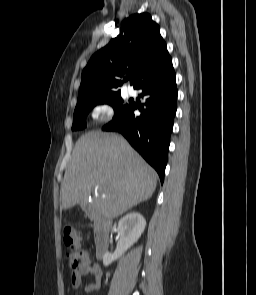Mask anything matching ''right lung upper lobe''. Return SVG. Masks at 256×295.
Returning a JSON list of instances; mask_svg holds the SVG:
<instances>
[{
  "instance_id": "right-lung-upper-lobe-1",
  "label": "right lung upper lobe",
  "mask_w": 256,
  "mask_h": 295,
  "mask_svg": "<svg viewBox=\"0 0 256 295\" xmlns=\"http://www.w3.org/2000/svg\"><path fill=\"white\" fill-rule=\"evenodd\" d=\"M169 57L160 28L151 16L134 14L122 22L120 35L89 60L82 72L78 100L119 95L125 74L131 75L135 88Z\"/></svg>"
}]
</instances>
